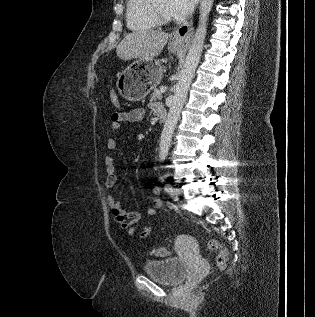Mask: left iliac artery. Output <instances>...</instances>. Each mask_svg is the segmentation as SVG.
<instances>
[{
  "label": "left iliac artery",
  "mask_w": 315,
  "mask_h": 317,
  "mask_svg": "<svg viewBox=\"0 0 315 317\" xmlns=\"http://www.w3.org/2000/svg\"><path fill=\"white\" fill-rule=\"evenodd\" d=\"M165 190L167 192H171L172 191V187L170 185H166Z\"/></svg>",
  "instance_id": "44dca946"
}]
</instances>
